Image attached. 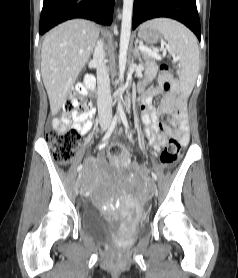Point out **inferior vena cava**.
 I'll return each instance as SVG.
<instances>
[{
  "label": "inferior vena cava",
  "instance_id": "inferior-vena-cava-1",
  "mask_svg": "<svg viewBox=\"0 0 238 278\" xmlns=\"http://www.w3.org/2000/svg\"><path fill=\"white\" fill-rule=\"evenodd\" d=\"M93 63L97 70L98 84V115L101 125L109 126L112 118V99L110 94V79L105 63V52L102 41H98L93 54Z\"/></svg>",
  "mask_w": 238,
  "mask_h": 278
}]
</instances>
